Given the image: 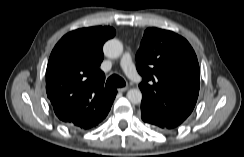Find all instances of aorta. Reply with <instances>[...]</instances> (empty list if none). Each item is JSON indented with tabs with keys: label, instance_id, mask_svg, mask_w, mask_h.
<instances>
[{
	"label": "aorta",
	"instance_id": "762f6f07",
	"mask_svg": "<svg viewBox=\"0 0 244 157\" xmlns=\"http://www.w3.org/2000/svg\"><path fill=\"white\" fill-rule=\"evenodd\" d=\"M104 55L108 58H118L123 53V45L117 39L108 40L103 47ZM127 98L132 104H139L142 100V93L139 89H130Z\"/></svg>",
	"mask_w": 244,
	"mask_h": 157
}]
</instances>
